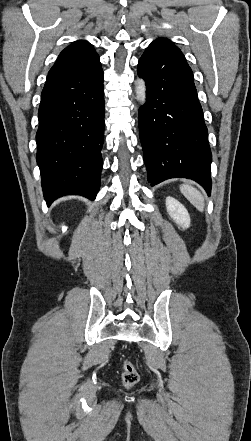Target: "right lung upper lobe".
I'll list each match as a JSON object with an SVG mask.
<instances>
[{"mask_svg": "<svg viewBox=\"0 0 251 441\" xmlns=\"http://www.w3.org/2000/svg\"><path fill=\"white\" fill-rule=\"evenodd\" d=\"M99 56L93 46L83 40L66 47L48 74H74L86 72L100 66Z\"/></svg>", "mask_w": 251, "mask_h": 441, "instance_id": "cb5924a9", "label": "right lung upper lobe"}]
</instances>
